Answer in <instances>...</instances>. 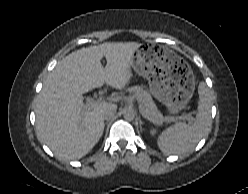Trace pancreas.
Instances as JSON below:
<instances>
[{"label": "pancreas", "mask_w": 248, "mask_h": 194, "mask_svg": "<svg viewBox=\"0 0 248 194\" xmlns=\"http://www.w3.org/2000/svg\"><path fill=\"white\" fill-rule=\"evenodd\" d=\"M128 91L135 97L142 105L145 113L149 118L156 123L169 122V119L164 117L157 109L150 93L143 89L141 86H133L128 88Z\"/></svg>", "instance_id": "obj_1"}]
</instances>
